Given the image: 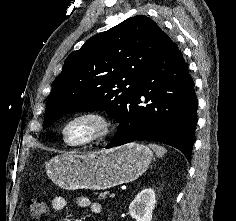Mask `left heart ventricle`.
Returning <instances> with one entry per match:
<instances>
[{
    "label": "left heart ventricle",
    "mask_w": 236,
    "mask_h": 221,
    "mask_svg": "<svg viewBox=\"0 0 236 221\" xmlns=\"http://www.w3.org/2000/svg\"><path fill=\"white\" fill-rule=\"evenodd\" d=\"M98 131V124L90 119L79 120L72 123L67 131L66 138L69 142L77 143L89 139Z\"/></svg>",
    "instance_id": "left-heart-ventricle-1"
}]
</instances>
